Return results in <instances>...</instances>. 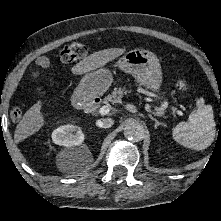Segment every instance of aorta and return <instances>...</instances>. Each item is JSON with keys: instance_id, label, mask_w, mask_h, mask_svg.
<instances>
[{"instance_id": "aorta-1", "label": "aorta", "mask_w": 221, "mask_h": 221, "mask_svg": "<svg viewBox=\"0 0 221 221\" xmlns=\"http://www.w3.org/2000/svg\"><path fill=\"white\" fill-rule=\"evenodd\" d=\"M145 130L142 124L128 121L124 126V136L132 141L138 142L144 138Z\"/></svg>"}]
</instances>
